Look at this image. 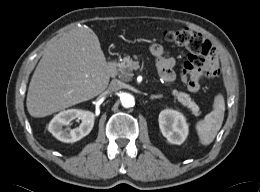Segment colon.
<instances>
[{"instance_id": "5ec220e1", "label": "colon", "mask_w": 260, "mask_h": 192, "mask_svg": "<svg viewBox=\"0 0 260 192\" xmlns=\"http://www.w3.org/2000/svg\"><path fill=\"white\" fill-rule=\"evenodd\" d=\"M167 42L184 47L188 51L181 77L189 90H195L199 72L206 66H216V54L211 43L188 29L168 30L164 33Z\"/></svg>"}]
</instances>
